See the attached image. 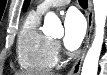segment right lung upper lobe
Wrapping results in <instances>:
<instances>
[{"label":"right lung upper lobe","mask_w":107,"mask_h":75,"mask_svg":"<svg viewBox=\"0 0 107 75\" xmlns=\"http://www.w3.org/2000/svg\"><path fill=\"white\" fill-rule=\"evenodd\" d=\"M28 5H29V0H26L25 5H24V11H25L26 8L28 7Z\"/></svg>","instance_id":"right-lung-upper-lobe-1"}]
</instances>
